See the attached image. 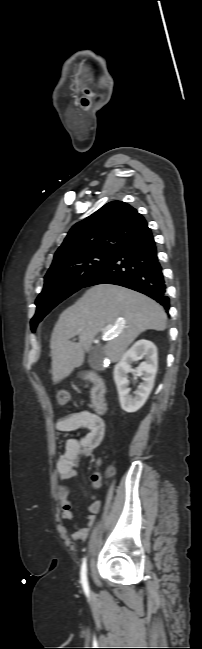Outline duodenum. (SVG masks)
I'll return each instance as SVG.
<instances>
[{
    "instance_id": "1",
    "label": "duodenum",
    "mask_w": 202,
    "mask_h": 649,
    "mask_svg": "<svg viewBox=\"0 0 202 649\" xmlns=\"http://www.w3.org/2000/svg\"><path fill=\"white\" fill-rule=\"evenodd\" d=\"M88 380L92 383V388L90 391V397L92 405L95 408V411L102 415L107 409V398H106V384L104 380L95 373H89L87 375Z\"/></svg>"
}]
</instances>
